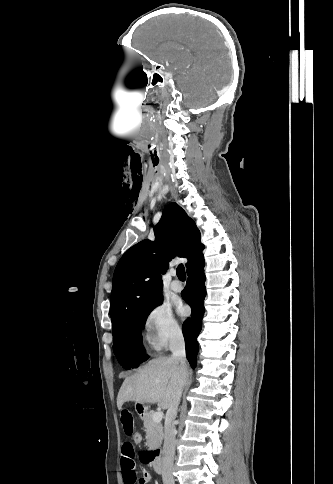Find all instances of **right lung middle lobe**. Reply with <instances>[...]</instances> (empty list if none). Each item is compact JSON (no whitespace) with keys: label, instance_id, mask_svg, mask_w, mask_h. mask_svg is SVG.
I'll use <instances>...</instances> for the list:
<instances>
[{"label":"right lung middle lobe","instance_id":"dd1d6c3e","mask_svg":"<svg viewBox=\"0 0 333 484\" xmlns=\"http://www.w3.org/2000/svg\"><path fill=\"white\" fill-rule=\"evenodd\" d=\"M163 297L127 317L113 335V350L119 363L130 369L148 359L142 345L141 331L145 320L154 307L160 305Z\"/></svg>","mask_w":333,"mask_h":484}]
</instances>
